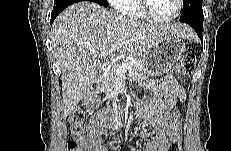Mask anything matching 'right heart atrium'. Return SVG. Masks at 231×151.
<instances>
[{"instance_id": "d8ad5b80", "label": "right heart atrium", "mask_w": 231, "mask_h": 151, "mask_svg": "<svg viewBox=\"0 0 231 151\" xmlns=\"http://www.w3.org/2000/svg\"><path fill=\"white\" fill-rule=\"evenodd\" d=\"M123 0H109V3L117 10H120Z\"/></svg>"}]
</instances>
